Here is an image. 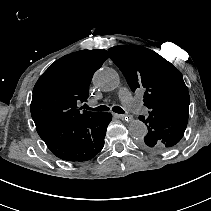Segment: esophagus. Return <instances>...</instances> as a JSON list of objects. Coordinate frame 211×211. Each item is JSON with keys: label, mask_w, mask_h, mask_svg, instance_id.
Returning <instances> with one entry per match:
<instances>
[{"label": "esophagus", "mask_w": 211, "mask_h": 211, "mask_svg": "<svg viewBox=\"0 0 211 211\" xmlns=\"http://www.w3.org/2000/svg\"><path fill=\"white\" fill-rule=\"evenodd\" d=\"M115 116L117 117V118H120V119H124L125 118V121L127 122V123H130L131 121H132V118L130 117V116H127V115H124V114H115Z\"/></svg>", "instance_id": "obj_1"}]
</instances>
